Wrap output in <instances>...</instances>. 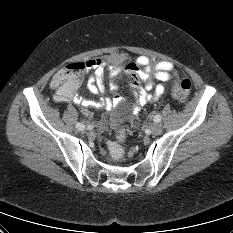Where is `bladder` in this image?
Segmentation results:
<instances>
[{
  "instance_id": "1",
  "label": "bladder",
  "mask_w": 233,
  "mask_h": 233,
  "mask_svg": "<svg viewBox=\"0 0 233 233\" xmlns=\"http://www.w3.org/2000/svg\"><path fill=\"white\" fill-rule=\"evenodd\" d=\"M128 110L123 109L117 112H114L110 118L102 123V127L110 128L117 126L118 124L123 123L128 117Z\"/></svg>"
}]
</instances>
